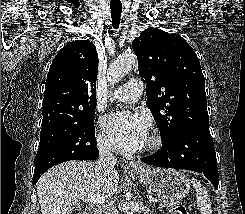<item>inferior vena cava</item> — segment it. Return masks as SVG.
Wrapping results in <instances>:
<instances>
[{
	"instance_id": "inferior-vena-cava-1",
	"label": "inferior vena cava",
	"mask_w": 245,
	"mask_h": 214,
	"mask_svg": "<svg viewBox=\"0 0 245 214\" xmlns=\"http://www.w3.org/2000/svg\"><path fill=\"white\" fill-rule=\"evenodd\" d=\"M97 147L99 149V158L96 161V167L104 171H111L117 162L110 149L102 142H97Z\"/></svg>"
}]
</instances>
